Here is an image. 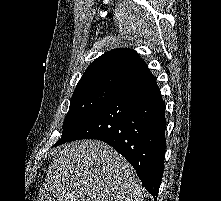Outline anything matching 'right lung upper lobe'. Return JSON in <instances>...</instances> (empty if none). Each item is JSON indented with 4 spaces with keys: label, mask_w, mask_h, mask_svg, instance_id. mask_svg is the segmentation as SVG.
<instances>
[{
    "label": "right lung upper lobe",
    "mask_w": 221,
    "mask_h": 201,
    "mask_svg": "<svg viewBox=\"0 0 221 201\" xmlns=\"http://www.w3.org/2000/svg\"><path fill=\"white\" fill-rule=\"evenodd\" d=\"M148 72L147 65L136 51L113 49L93 61L75 90L89 87L121 89Z\"/></svg>",
    "instance_id": "cb5924a9"
}]
</instances>
